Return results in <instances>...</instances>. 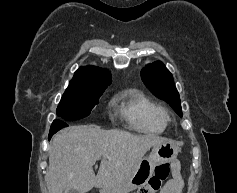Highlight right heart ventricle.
<instances>
[{
  "mask_svg": "<svg viewBox=\"0 0 237 193\" xmlns=\"http://www.w3.org/2000/svg\"><path fill=\"white\" fill-rule=\"evenodd\" d=\"M118 110L129 127L144 134L162 133L168 124L165 109L137 89H126L116 98Z\"/></svg>",
  "mask_w": 237,
  "mask_h": 193,
  "instance_id": "right-heart-ventricle-1",
  "label": "right heart ventricle"
}]
</instances>
